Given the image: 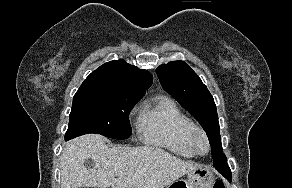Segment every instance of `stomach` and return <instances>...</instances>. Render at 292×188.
I'll use <instances>...</instances> for the list:
<instances>
[{
	"mask_svg": "<svg viewBox=\"0 0 292 188\" xmlns=\"http://www.w3.org/2000/svg\"><path fill=\"white\" fill-rule=\"evenodd\" d=\"M215 178L213 172L205 167H199L187 173L186 179H179L167 188H213Z\"/></svg>",
	"mask_w": 292,
	"mask_h": 188,
	"instance_id": "0dacf381",
	"label": "stomach"
}]
</instances>
